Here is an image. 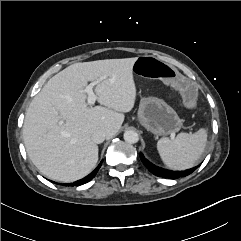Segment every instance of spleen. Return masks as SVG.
Masks as SVG:
<instances>
[{"instance_id": "obj_1", "label": "spleen", "mask_w": 241, "mask_h": 241, "mask_svg": "<svg viewBox=\"0 0 241 241\" xmlns=\"http://www.w3.org/2000/svg\"><path fill=\"white\" fill-rule=\"evenodd\" d=\"M206 143L207 130L201 128L194 134L179 133L175 139L161 138L157 142V149L170 169L185 170L195 165Z\"/></svg>"}]
</instances>
